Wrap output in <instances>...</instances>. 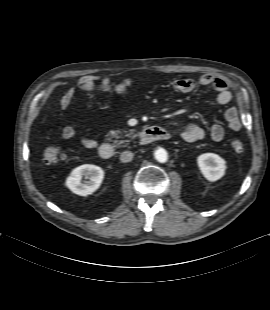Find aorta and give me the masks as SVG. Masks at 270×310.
<instances>
[{
    "instance_id": "1",
    "label": "aorta",
    "mask_w": 270,
    "mask_h": 310,
    "mask_svg": "<svg viewBox=\"0 0 270 310\" xmlns=\"http://www.w3.org/2000/svg\"><path fill=\"white\" fill-rule=\"evenodd\" d=\"M155 159L160 163H165L168 159L167 151L163 148H158L154 153Z\"/></svg>"
}]
</instances>
